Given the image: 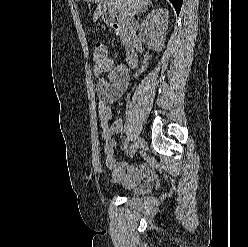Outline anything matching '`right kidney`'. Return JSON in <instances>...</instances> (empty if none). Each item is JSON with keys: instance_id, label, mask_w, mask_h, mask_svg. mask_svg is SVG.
Masks as SVG:
<instances>
[{"instance_id": "right-kidney-1", "label": "right kidney", "mask_w": 248, "mask_h": 247, "mask_svg": "<svg viewBox=\"0 0 248 247\" xmlns=\"http://www.w3.org/2000/svg\"><path fill=\"white\" fill-rule=\"evenodd\" d=\"M169 11L165 8L152 10L141 23L139 36L155 51H161L168 28Z\"/></svg>"}]
</instances>
